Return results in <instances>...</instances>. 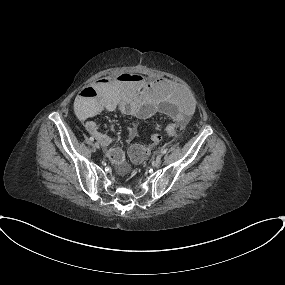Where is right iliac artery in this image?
Listing matches in <instances>:
<instances>
[{"instance_id":"82829eb1","label":"right iliac artery","mask_w":285,"mask_h":285,"mask_svg":"<svg viewBox=\"0 0 285 285\" xmlns=\"http://www.w3.org/2000/svg\"><path fill=\"white\" fill-rule=\"evenodd\" d=\"M90 140H91V141H94V138H93V137H90Z\"/></svg>"}]
</instances>
